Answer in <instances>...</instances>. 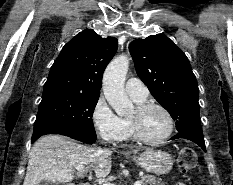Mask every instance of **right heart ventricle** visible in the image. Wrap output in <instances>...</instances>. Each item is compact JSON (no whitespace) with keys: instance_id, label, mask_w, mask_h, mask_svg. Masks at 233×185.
I'll list each match as a JSON object with an SVG mask.
<instances>
[{"instance_id":"right-heart-ventricle-1","label":"right heart ventricle","mask_w":233,"mask_h":185,"mask_svg":"<svg viewBox=\"0 0 233 185\" xmlns=\"http://www.w3.org/2000/svg\"><path fill=\"white\" fill-rule=\"evenodd\" d=\"M133 100L138 104L145 101V99L144 100L133 99ZM124 121H125V125H126V133H125L124 139H133L134 136H133L130 122L128 119H124Z\"/></svg>"}]
</instances>
